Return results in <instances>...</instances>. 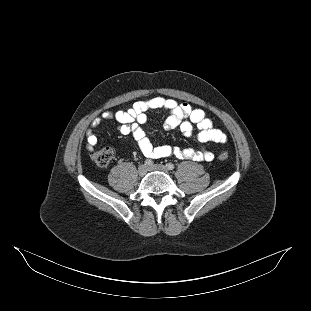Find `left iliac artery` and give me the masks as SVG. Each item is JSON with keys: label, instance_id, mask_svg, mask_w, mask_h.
Instances as JSON below:
<instances>
[{"label": "left iliac artery", "instance_id": "left-iliac-artery-1", "mask_svg": "<svg viewBox=\"0 0 311 311\" xmlns=\"http://www.w3.org/2000/svg\"><path fill=\"white\" fill-rule=\"evenodd\" d=\"M166 167L168 170H173L175 168L174 164H172V163H167Z\"/></svg>", "mask_w": 311, "mask_h": 311}]
</instances>
